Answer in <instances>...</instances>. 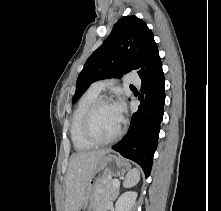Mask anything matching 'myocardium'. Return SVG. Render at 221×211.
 <instances>
[{
  "label": "myocardium",
  "instance_id": "myocardium-1",
  "mask_svg": "<svg viewBox=\"0 0 221 211\" xmlns=\"http://www.w3.org/2000/svg\"><path fill=\"white\" fill-rule=\"evenodd\" d=\"M104 104H111L107 97L97 98L86 110L82 121V134L83 137L93 145H105L112 143L119 139L124 132V120H121V125L118 131L107 139H99L92 132V119L95 111Z\"/></svg>",
  "mask_w": 221,
  "mask_h": 211
}]
</instances>
